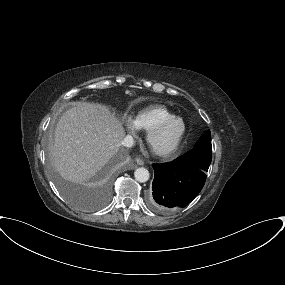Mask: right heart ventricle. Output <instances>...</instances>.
<instances>
[{"label":"right heart ventricle","instance_id":"obj_1","mask_svg":"<svg viewBox=\"0 0 285 285\" xmlns=\"http://www.w3.org/2000/svg\"><path fill=\"white\" fill-rule=\"evenodd\" d=\"M175 116L169 109L162 105H153L140 110L133 119L135 126L148 132L161 121Z\"/></svg>","mask_w":285,"mask_h":285}]
</instances>
